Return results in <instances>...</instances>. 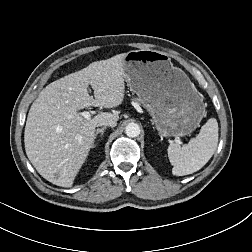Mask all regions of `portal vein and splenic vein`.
Instances as JSON below:
<instances>
[{"label": "portal vein and splenic vein", "mask_w": 252, "mask_h": 252, "mask_svg": "<svg viewBox=\"0 0 252 252\" xmlns=\"http://www.w3.org/2000/svg\"><path fill=\"white\" fill-rule=\"evenodd\" d=\"M80 115L83 116L85 119H90L91 113L89 111L80 112Z\"/></svg>", "instance_id": "1"}]
</instances>
